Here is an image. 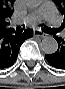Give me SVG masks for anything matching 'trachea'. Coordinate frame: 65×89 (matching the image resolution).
I'll use <instances>...</instances> for the list:
<instances>
[{"mask_svg":"<svg viewBox=\"0 0 65 89\" xmlns=\"http://www.w3.org/2000/svg\"><path fill=\"white\" fill-rule=\"evenodd\" d=\"M17 30H21L22 31L23 28L18 26ZM43 31L46 32V33H49V34H54L56 32L55 29H51V28H48V27H44Z\"/></svg>","mask_w":65,"mask_h":89,"instance_id":"1","label":"trachea"}]
</instances>
